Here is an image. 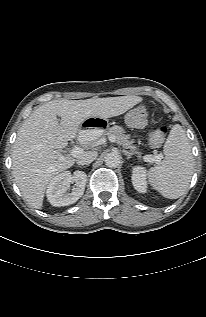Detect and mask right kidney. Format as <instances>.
Wrapping results in <instances>:
<instances>
[{"instance_id":"obj_1","label":"right kidney","mask_w":206,"mask_h":317,"mask_svg":"<svg viewBox=\"0 0 206 317\" xmlns=\"http://www.w3.org/2000/svg\"><path fill=\"white\" fill-rule=\"evenodd\" d=\"M86 181L87 175L83 171H75L73 175L69 171L60 173L50 181L46 191L47 198L51 205L56 207L71 205L82 197ZM73 182L75 186L68 193L67 190Z\"/></svg>"}]
</instances>
